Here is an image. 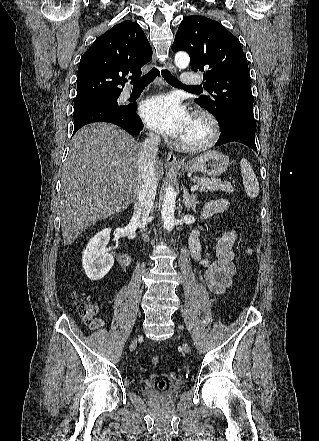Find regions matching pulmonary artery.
<instances>
[{
	"instance_id": "e3ab8cb5",
	"label": "pulmonary artery",
	"mask_w": 319,
	"mask_h": 441,
	"mask_svg": "<svg viewBox=\"0 0 319 441\" xmlns=\"http://www.w3.org/2000/svg\"><path fill=\"white\" fill-rule=\"evenodd\" d=\"M181 83L186 86H196L202 83V78L199 74L185 72L181 76Z\"/></svg>"
}]
</instances>
